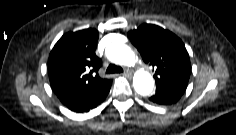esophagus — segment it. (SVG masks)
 Masks as SVG:
<instances>
[{
    "instance_id": "34e87169",
    "label": "esophagus",
    "mask_w": 236,
    "mask_h": 135,
    "mask_svg": "<svg viewBox=\"0 0 236 135\" xmlns=\"http://www.w3.org/2000/svg\"><path fill=\"white\" fill-rule=\"evenodd\" d=\"M123 75L130 77L132 73L130 72V70H125Z\"/></svg>"
}]
</instances>
